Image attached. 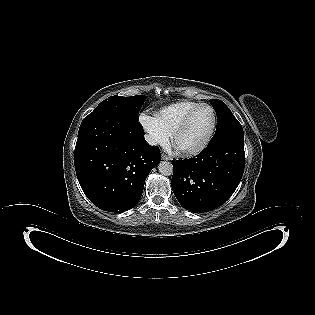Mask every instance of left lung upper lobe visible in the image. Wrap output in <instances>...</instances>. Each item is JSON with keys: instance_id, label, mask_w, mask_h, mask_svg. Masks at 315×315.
Masks as SVG:
<instances>
[{"instance_id": "obj_1", "label": "left lung upper lobe", "mask_w": 315, "mask_h": 315, "mask_svg": "<svg viewBox=\"0 0 315 315\" xmlns=\"http://www.w3.org/2000/svg\"><path fill=\"white\" fill-rule=\"evenodd\" d=\"M210 103L217 113V127L209 145L224 139L244 140L241 124L231 113L230 109L220 100L211 99Z\"/></svg>"}]
</instances>
